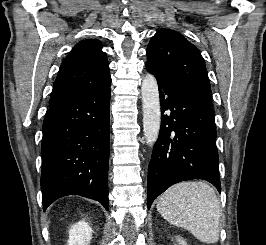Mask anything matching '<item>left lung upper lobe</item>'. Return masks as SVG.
<instances>
[{
  "label": "left lung upper lobe",
  "instance_id": "5c2ea615",
  "mask_svg": "<svg viewBox=\"0 0 266 245\" xmlns=\"http://www.w3.org/2000/svg\"><path fill=\"white\" fill-rule=\"evenodd\" d=\"M146 65L212 105L210 83L204 60L195 45L182 34L160 29L150 40Z\"/></svg>",
  "mask_w": 266,
  "mask_h": 245
}]
</instances>
